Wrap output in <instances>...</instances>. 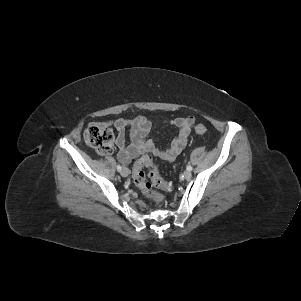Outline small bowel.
<instances>
[{
    "label": "small bowel",
    "instance_id": "c3829d8e",
    "mask_svg": "<svg viewBox=\"0 0 301 301\" xmlns=\"http://www.w3.org/2000/svg\"><path fill=\"white\" fill-rule=\"evenodd\" d=\"M194 122L193 116L177 117L171 120L169 123L178 129V134L165 148L159 147L149 137L154 124L144 116H138L133 120L119 118L107 124L112 125L117 131L115 145L118 149V159L123 164H129L133 159L147 154L167 161L174 160L186 147ZM127 133H129V143Z\"/></svg>",
    "mask_w": 301,
    "mask_h": 301
}]
</instances>
